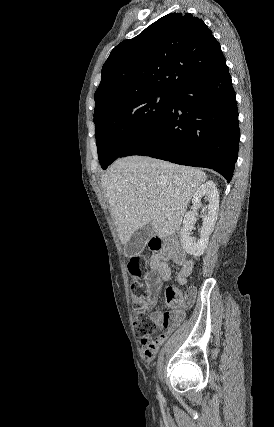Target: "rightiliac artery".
<instances>
[{"instance_id":"1","label":"right iliac artery","mask_w":274,"mask_h":427,"mask_svg":"<svg viewBox=\"0 0 274 427\" xmlns=\"http://www.w3.org/2000/svg\"><path fill=\"white\" fill-rule=\"evenodd\" d=\"M157 392H158V397L161 399L162 398V395H161V392H160V390H159V387L157 386Z\"/></svg>"}]
</instances>
